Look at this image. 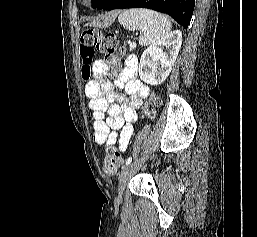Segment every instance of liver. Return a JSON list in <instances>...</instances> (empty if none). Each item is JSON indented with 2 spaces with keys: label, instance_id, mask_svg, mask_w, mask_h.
<instances>
[{
  "label": "liver",
  "instance_id": "liver-1",
  "mask_svg": "<svg viewBox=\"0 0 257 237\" xmlns=\"http://www.w3.org/2000/svg\"><path fill=\"white\" fill-rule=\"evenodd\" d=\"M115 18H116V13H115V14H112V15L109 17L108 23H112Z\"/></svg>",
  "mask_w": 257,
  "mask_h": 237
}]
</instances>
